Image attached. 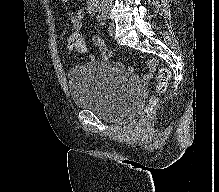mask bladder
I'll return each mask as SVG.
<instances>
[{"label": "bladder", "instance_id": "31cf9c89", "mask_svg": "<svg viewBox=\"0 0 219 192\" xmlns=\"http://www.w3.org/2000/svg\"><path fill=\"white\" fill-rule=\"evenodd\" d=\"M67 81L75 106L111 123L132 119L142 105L143 92L134 87L128 73L115 63L76 65L69 70Z\"/></svg>", "mask_w": 219, "mask_h": 192}]
</instances>
